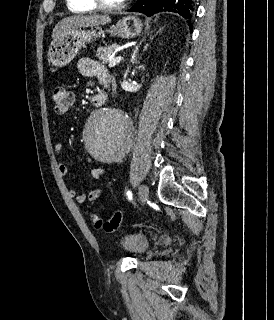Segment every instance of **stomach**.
Listing matches in <instances>:
<instances>
[{"mask_svg":"<svg viewBox=\"0 0 274 320\" xmlns=\"http://www.w3.org/2000/svg\"><path fill=\"white\" fill-rule=\"evenodd\" d=\"M142 30L143 24L139 18L124 16L116 26H111L108 32L111 36H120V38H136V36H140ZM100 34H103V30L98 26L95 28L91 26V30H80V28L64 30L56 40H53L49 48L47 54L49 62L56 68L67 66L79 54L81 48H86V44L93 42V36H100Z\"/></svg>","mask_w":274,"mask_h":320,"instance_id":"0dacf381","label":"stomach"}]
</instances>
